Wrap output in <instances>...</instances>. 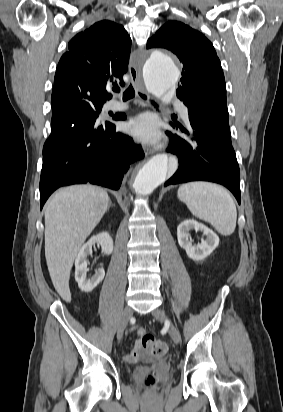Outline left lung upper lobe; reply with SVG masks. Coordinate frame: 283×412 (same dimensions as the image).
<instances>
[{
  "label": "left lung upper lobe",
  "instance_id": "left-lung-upper-lobe-1",
  "mask_svg": "<svg viewBox=\"0 0 283 412\" xmlns=\"http://www.w3.org/2000/svg\"><path fill=\"white\" fill-rule=\"evenodd\" d=\"M146 48H165L178 56L183 70L177 97L187 106L189 119L231 139L225 79L212 43L188 25L169 21L147 41Z\"/></svg>",
  "mask_w": 283,
  "mask_h": 412
}]
</instances>
